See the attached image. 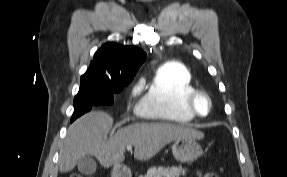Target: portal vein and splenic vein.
Returning <instances> with one entry per match:
<instances>
[{"instance_id": "1", "label": "portal vein and splenic vein", "mask_w": 287, "mask_h": 177, "mask_svg": "<svg viewBox=\"0 0 287 177\" xmlns=\"http://www.w3.org/2000/svg\"><path fill=\"white\" fill-rule=\"evenodd\" d=\"M127 150H132V146H127Z\"/></svg>"}]
</instances>
